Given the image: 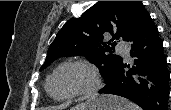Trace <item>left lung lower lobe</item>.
I'll use <instances>...</instances> for the list:
<instances>
[{
  "label": "left lung lower lobe",
  "mask_w": 171,
  "mask_h": 110,
  "mask_svg": "<svg viewBox=\"0 0 171 110\" xmlns=\"http://www.w3.org/2000/svg\"><path fill=\"white\" fill-rule=\"evenodd\" d=\"M129 43L135 66L130 68L121 61L99 92L128 98L143 110H168L170 74L162 40L150 15Z\"/></svg>",
  "instance_id": "1"
}]
</instances>
